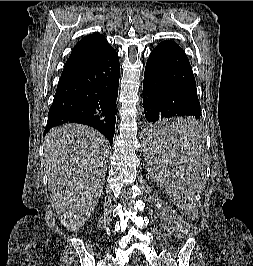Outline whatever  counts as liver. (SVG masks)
I'll list each match as a JSON object with an SVG mask.
<instances>
[{"instance_id": "obj_1", "label": "liver", "mask_w": 253, "mask_h": 266, "mask_svg": "<svg viewBox=\"0 0 253 266\" xmlns=\"http://www.w3.org/2000/svg\"><path fill=\"white\" fill-rule=\"evenodd\" d=\"M107 139L95 129L66 124L51 129L44 143L48 187L61 223L78 231L93 213L103 189Z\"/></svg>"}]
</instances>
